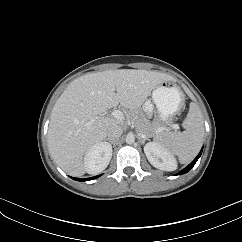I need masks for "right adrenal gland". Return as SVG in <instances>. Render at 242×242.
I'll use <instances>...</instances> for the list:
<instances>
[{
	"instance_id": "obj_1",
	"label": "right adrenal gland",
	"mask_w": 242,
	"mask_h": 242,
	"mask_svg": "<svg viewBox=\"0 0 242 242\" xmlns=\"http://www.w3.org/2000/svg\"><path fill=\"white\" fill-rule=\"evenodd\" d=\"M106 140L110 141L111 144H115V141L114 140H110V139H106Z\"/></svg>"
}]
</instances>
